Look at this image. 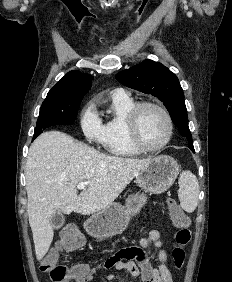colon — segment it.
I'll list each match as a JSON object with an SVG mask.
<instances>
[{"label": "colon", "mask_w": 232, "mask_h": 282, "mask_svg": "<svg viewBox=\"0 0 232 282\" xmlns=\"http://www.w3.org/2000/svg\"><path fill=\"white\" fill-rule=\"evenodd\" d=\"M167 206L173 225L177 228L175 235L176 246L172 251L173 263L176 268H181L185 260V247L191 241L189 230V217L180 208L178 203L170 199ZM83 245V238L72 229H65L60 238V246L67 251H74ZM41 270L46 272L53 282H84L87 267L77 264L72 267L58 264L56 252L49 253L42 261Z\"/></svg>", "instance_id": "1"}]
</instances>
